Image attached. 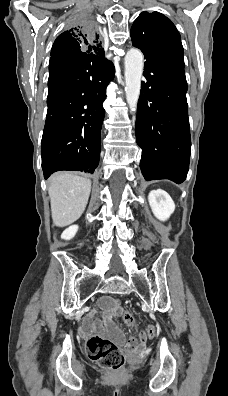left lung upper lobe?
Wrapping results in <instances>:
<instances>
[{"label":"left lung upper lobe","mask_w":228,"mask_h":396,"mask_svg":"<svg viewBox=\"0 0 228 396\" xmlns=\"http://www.w3.org/2000/svg\"><path fill=\"white\" fill-rule=\"evenodd\" d=\"M134 47L175 60L184 68L183 46L175 25L159 12H142L131 28Z\"/></svg>","instance_id":"left-lung-upper-lobe-1"}]
</instances>
